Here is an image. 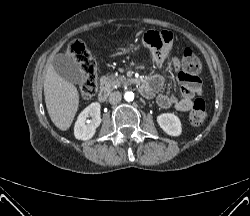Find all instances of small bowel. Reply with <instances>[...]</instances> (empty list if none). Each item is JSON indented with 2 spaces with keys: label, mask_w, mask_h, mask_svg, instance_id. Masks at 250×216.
<instances>
[{
  "label": "small bowel",
  "mask_w": 250,
  "mask_h": 216,
  "mask_svg": "<svg viewBox=\"0 0 250 216\" xmlns=\"http://www.w3.org/2000/svg\"><path fill=\"white\" fill-rule=\"evenodd\" d=\"M145 45L153 51L155 63L163 68H167V51L172 44V34L170 32L150 31L144 35ZM175 75L181 84L180 96L174 94H160L157 97V104L162 108H174L177 111L187 112L192 109L193 98L202 92L201 82L198 77H187L179 69L178 63L174 64ZM167 77L164 73L151 76L147 81L150 95L160 91Z\"/></svg>",
  "instance_id": "obj_1"
}]
</instances>
